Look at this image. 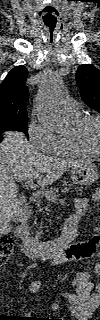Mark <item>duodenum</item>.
Instances as JSON below:
<instances>
[{
  "label": "duodenum",
  "mask_w": 100,
  "mask_h": 320,
  "mask_svg": "<svg viewBox=\"0 0 100 320\" xmlns=\"http://www.w3.org/2000/svg\"><path fill=\"white\" fill-rule=\"evenodd\" d=\"M79 215L71 216L68 219L64 234L57 240L38 241L28 235L27 215L18 218L15 229V236L22 242V250L30 258L50 260L53 264H59L65 260V255L70 252L68 249L71 242L77 235Z\"/></svg>",
  "instance_id": "duodenum-1"
}]
</instances>
